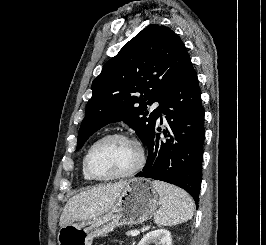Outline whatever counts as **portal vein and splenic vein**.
Here are the masks:
<instances>
[{"instance_id": "1", "label": "portal vein and splenic vein", "mask_w": 266, "mask_h": 245, "mask_svg": "<svg viewBox=\"0 0 266 245\" xmlns=\"http://www.w3.org/2000/svg\"><path fill=\"white\" fill-rule=\"evenodd\" d=\"M129 235H131V237H137V235H140V231H131Z\"/></svg>"}]
</instances>
